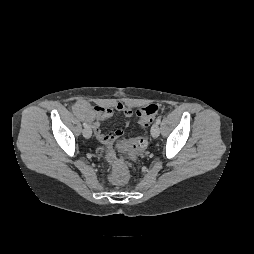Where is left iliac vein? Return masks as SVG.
I'll use <instances>...</instances> for the list:
<instances>
[{
    "label": "left iliac vein",
    "instance_id": "left-iliac-vein-1",
    "mask_svg": "<svg viewBox=\"0 0 254 254\" xmlns=\"http://www.w3.org/2000/svg\"><path fill=\"white\" fill-rule=\"evenodd\" d=\"M160 134L159 125L157 123H154L151 127V135L154 138H157Z\"/></svg>",
    "mask_w": 254,
    "mask_h": 254
}]
</instances>
